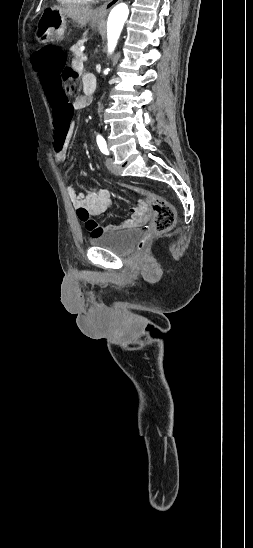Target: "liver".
Segmentation results:
<instances>
[{"label":"liver","mask_w":253,"mask_h":548,"mask_svg":"<svg viewBox=\"0 0 253 548\" xmlns=\"http://www.w3.org/2000/svg\"><path fill=\"white\" fill-rule=\"evenodd\" d=\"M51 9L58 10L82 27L86 26L94 15V10L84 5H56Z\"/></svg>","instance_id":"obj_1"}]
</instances>
